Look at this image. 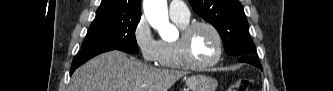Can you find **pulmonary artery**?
I'll return each instance as SVG.
<instances>
[{
	"mask_svg": "<svg viewBox=\"0 0 333 91\" xmlns=\"http://www.w3.org/2000/svg\"><path fill=\"white\" fill-rule=\"evenodd\" d=\"M169 13L171 17L187 19L190 18V11L186 4L182 1H173L169 5Z\"/></svg>",
	"mask_w": 333,
	"mask_h": 91,
	"instance_id": "obj_1",
	"label": "pulmonary artery"
}]
</instances>
